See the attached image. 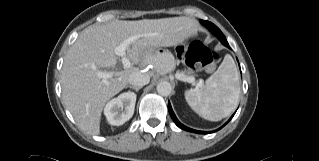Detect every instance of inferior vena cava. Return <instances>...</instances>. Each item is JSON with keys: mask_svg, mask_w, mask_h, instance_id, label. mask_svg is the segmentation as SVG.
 Returning <instances> with one entry per match:
<instances>
[{"mask_svg": "<svg viewBox=\"0 0 319 161\" xmlns=\"http://www.w3.org/2000/svg\"><path fill=\"white\" fill-rule=\"evenodd\" d=\"M149 81V75L141 72H134L129 78V84L133 85L134 87H143L144 85L148 84Z\"/></svg>", "mask_w": 319, "mask_h": 161, "instance_id": "inferior-vena-cava-1", "label": "inferior vena cava"}]
</instances>
